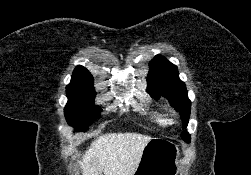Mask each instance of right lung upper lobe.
<instances>
[{
  "mask_svg": "<svg viewBox=\"0 0 251 175\" xmlns=\"http://www.w3.org/2000/svg\"><path fill=\"white\" fill-rule=\"evenodd\" d=\"M93 76L83 66H77L72 74L71 82L67 87H89L93 88Z\"/></svg>",
  "mask_w": 251,
  "mask_h": 175,
  "instance_id": "obj_1",
  "label": "right lung upper lobe"
}]
</instances>
